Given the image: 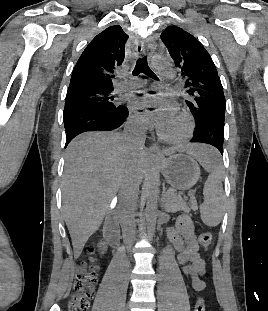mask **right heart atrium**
<instances>
[{
    "instance_id": "obj_1",
    "label": "right heart atrium",
    "mask_w": 268,
    "mask_h": 311,
    "mask_svg": "<svg viewBox=\"0 0 268 311\" xmlns=\"http://www.w3.org/2000/svg\"><path fill=\"white\" fill-rule=\"evenodd\" d=\"M129 125L134 130L143 131L147 127V122L144 119L140 118V117L133 116L130 119Z\"/></svg>"
}]
</instances>
